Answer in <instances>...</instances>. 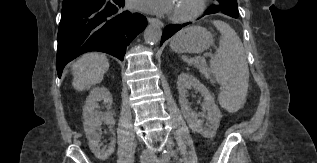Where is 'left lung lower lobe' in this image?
Returning <instances> with one entry per match:
<instances>
[{"mask_svg":"<svg viewBox=\"0 0 317 163\" xmlns=\"http://www.w3.org/2000/svg\"><path fill=\"white\" fill-rule=\"evenodd\" d=\"M206 14H212V13L207 11ZM231 17H234V16H231ZM234 18H237V17H234ZM188 24H190V22L189 23H185L183 25H170V26H167L164 29V32H163V35H162L161 45L166 39L170 38L174 33H176L178 30H180L182 27H185Z\"/></svg>","mask_w":317,"mask_h":163,"instance_id":"1","label":"left lung lower lobe"}]
</instances>
